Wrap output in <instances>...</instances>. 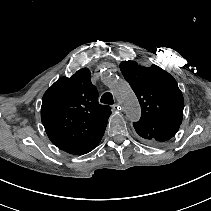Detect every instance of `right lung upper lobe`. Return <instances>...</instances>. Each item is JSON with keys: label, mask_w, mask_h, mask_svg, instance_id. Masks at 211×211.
<instances>
[{"label": "right lung upper lobe", "mask_w": 211, "mask_h": 211, "mask_svg": "<svg viewBox=\"0 0 211 211\" xmlns=\"http://www.w3.org/2000/svg\"><path fill=\"white\" fill-rule=\"evenodd\" d=\"M110 106L98 103L89 69L58 79L44 94L41 120L51 142L61 150L101 138Z\"/></svg>", "instance_id": "obj_1"}]
</instances>
